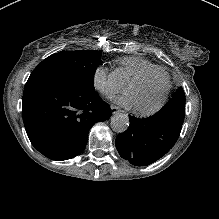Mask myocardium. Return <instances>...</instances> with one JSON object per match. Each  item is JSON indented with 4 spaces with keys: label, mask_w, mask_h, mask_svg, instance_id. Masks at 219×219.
Instances as JSON below:
<instances>
[{
    "label": "myocardium",
    "mask_w": 219,
    "mask_h": 219,
    "mask_svg": "<svg viewBox=\"0 0 219 219\" xmlns=\"http://www.w3.org/2000/svg\"><path fill=\"white\" fill-rule=\"evenodd\" d=\"M159 71H164V70L161 67H152L151 69L144 72L136 81H134L131 84V86H130L131 94L134 96V98L137 101L143 102L141 99V93H142L144 84L148 81V79L151 76L158 75ZM165 76H166V82H165L164 87L162 89V93H163L162 96L160 97V99L158 101L152 103L149 107H145V110H147V111L156 110L165 102L166 95L168 94V90L170 87V81H169L170 75L166 72Z\"/></svg>",
    "instance_id": "myocardium-1"
}]
</instances>
